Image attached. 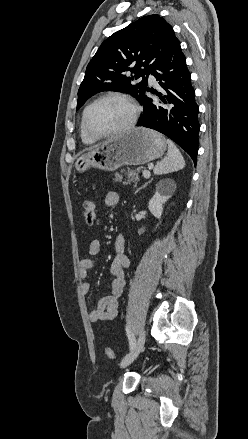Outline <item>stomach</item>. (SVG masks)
I'll list each match as a JSON object with an SVG mask.
<instances>
[{
	"instance_id": "stomach-1",
	"label": "stomach",
	"mask_w": 248,
	"mask_h": 439,
	"mask_svg": "<svg viewBox=\"0 0 248 439\" xmlns=\"http://www.w3.org/2000/svg\"><path fill=\"white\" fill-rule=\"evenodd\" d=\"M167 148L166 139L158 132L135 128L94 146L75 162L83 173L89 168L114 171L123 165H143L160 158Z\"/></svg>"
}]
</instances>
